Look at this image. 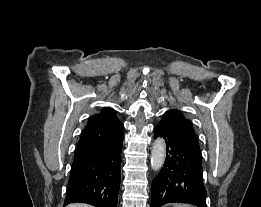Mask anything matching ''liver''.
<instances>
[{
	"label": "liver",
	"instance_id": "1",
	"mask_svg": "<svg viewBox=\"0 0 261 207\" xmlns=\"http://www.w3.org/2000/svg\"><path fill=\"white\" fill-rule=\"evenodd\" d=\"M67 207H93V206H90L88 204H81V203H76V204H71Z\"/></svg>",
	"mask_w": 261,
	"mask_h": 207
}]
</instances>
